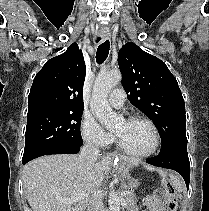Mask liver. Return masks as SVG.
<instances>
[{
	"label": "liver",
	"instance_id": "liver-1",
	"mask_svg": "<svg viewBox=\"0 0 209 211\" xmlns=\"http://www.w3.org/2000/svg\"><path fill=\"white\" fill-rule=\"evenodd\" d=\"M77 155L56 154L39 157L23 168L22 180L26 188V197L32 211H83L94 192L102 185L114 158L105 156L95 162L92 170H87ZM119 164L129 167L138 162L121 157ZM147 170L155 168L145 165ZM85 193L77 207L58 201L76 194Z\"/></svg>",
	"mask_w": 209,
	"mask_h": 211
}]
</instances>
